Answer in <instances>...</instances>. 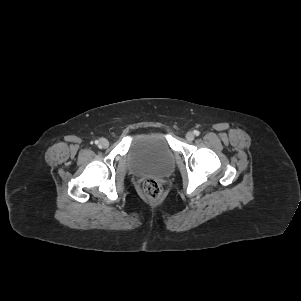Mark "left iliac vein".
<instances>
[{
  "mask_svg": "<svg viewBox=\"0 0 301 301\" xmlns=\"http://www.w3.org/2000/svg\"><path fill=\"white\" fill-rule=\"evenodd\" d=\"M194 133L193 132H188L187 134H186V139L188 140V141H193L194 140Z\"/></svg>",
  "mask_w": 301,
  "mask_h": 301,
  "instance_id": "obj_1",
  "label": "left iliac vein"
}]
</instances>
